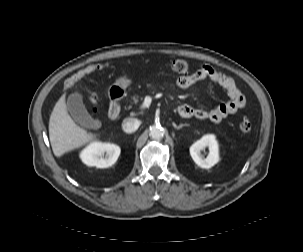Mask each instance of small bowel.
Segmentation results:
<instances>
[{"label": "small bowel", "mask_w": 303, "mask_h": 252, "mask_svg": "<svg viewBox=\"0 0 303 252\" xmlns=\"http://www.w3.org/2000/svg\"><path fill=\"white\" fill-rule=\"evenodd\" d=\"M204 80H209L224 89L228 99L211 110L193 108L188 104L180 105L177 107V112L181 116L193 117L198 120H210L218 123L243 107L245 97L234 80L228 75L222 74L207 65H202L192 74L180 76L176 80V85L180 89H187Z\"/></svg>", "instance_id": "c3829d8e"}]
</instances>
